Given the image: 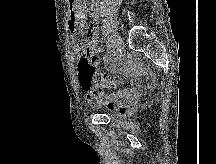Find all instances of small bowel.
<instances>
[{
	"instance_id": "1",
	"label": "small bowel",
	"mask_w": 216,
	"mask_h": 164,
	"mask_svg": "<svg viewBox=\"0 0 216 164\" xmlns=\"http://www.w3.org/2000/svg\"><path fill=\"white\" fill-rule=\"evenodd\" d=\"M100 52L101 48L97 43V28L94 24H89L86 29L83 50L75 49V53L77 55L85 53L93 62L97 63ZM107 66L111 72L123 74L129 79V89L110 91L121 83L122 79L120 77L111 78L104 74L100 86L88 92L87 100L92 107L97 109L105 107L120 114L128 113L133 109L140 95L141 83L137 77L142 74L143 69L140 65H135L126 58L110 59L107 62Z\"/></svg>"
}]
</instances>
